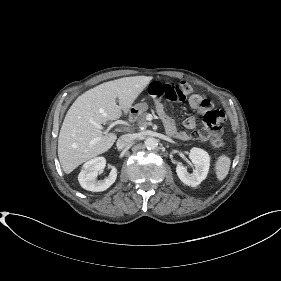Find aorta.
Here are the masks:
<instances>
[{"label":"aorta","mask_w":281,"mask_h":281,"mask_svg":"<svg viewBox=\"0 0 281 281\" xmlns=\"http://www.w3.org/2000/svg\"><path fill=\"white\" fill-rule=\"evenodd\" d=\"M144 145L147 149H155L158 145L157 140L153 137H147L144 141Z\"/></svg>","instance_id":"obj_1"}]
</instances>
